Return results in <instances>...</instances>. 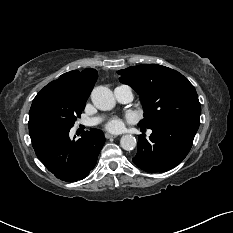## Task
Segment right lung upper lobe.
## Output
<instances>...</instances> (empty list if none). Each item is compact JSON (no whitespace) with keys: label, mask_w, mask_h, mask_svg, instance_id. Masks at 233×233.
<instances>
[{"label":"right lung upper lobe","mask_w":233,"mask_h":233,"mask_svg":"<svg viewBox=\"0 0 233 233\" xmlns=\"http://www.w3.org/2000/svg\"><path fill=\"white\" fill-rule=\"evenodd\" d=\"M97 78L98 73L94 69H85L82 72L73 70L52 81L47 87H56L64 93L87 101Z\"/></svg>","instance_id":"obj_1"}]
</instances>
